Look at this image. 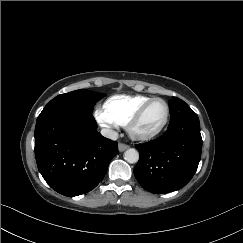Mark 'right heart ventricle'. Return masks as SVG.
I'll use <instances>...</instances> for the list:
<instances>
[{
    "mask_svg": "<svg viewBox=\"0 0 243 243\" xmlns=\"http://www.w3.org/2000/svg\"><path fill=\"white\" fill-rule=\"evenodd\" d=\"M150 99L144 95H115L105 102L104 110L117 124L126 126L134 113Z\"/></svg>",
    "mask_w": 243,
    "mask_h": 243,
    "instance_id": "right-heart-ventricle-1",
    "label": "right heart ventricle"
}]
</instances>
